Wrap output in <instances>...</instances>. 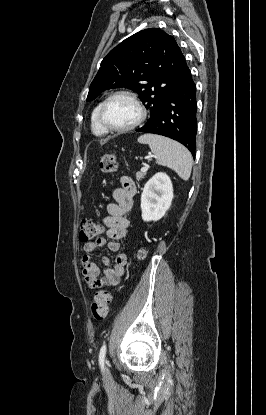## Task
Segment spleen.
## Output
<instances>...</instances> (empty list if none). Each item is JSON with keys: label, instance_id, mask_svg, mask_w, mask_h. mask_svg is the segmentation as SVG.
<instances>
[{"label": "spleen", "instance_id": "1", "mask_svg": "<svg viewBox=\"0 0 266 415\" xmlns=\"http://www.w3.org/2000/svg\"><path fill=\"white\" fill-rule=\"evenodd\" d=\"M138 142L149 145L157 164L174 170L184 181L190 178L193 160L190 152L183 145L154 134L141 135Z\"/></svg>", "mask_w": 266, "mask_h": 415}]
</instances>
